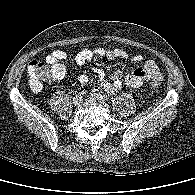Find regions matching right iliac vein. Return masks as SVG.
<instances>
[{
  "label": "right iliac vein",
  "instance_id": "right-iliac-vein-1",
  "mask_svg": "<svg viewBox=\"0 0 195 195\" xmlns=\"http://www.w3.org/2000/svg\"><path fill=\"white\" fill-rule=\"evenodd\" d=\"M82 100H83L82 96H80V95L75 96L74 99H73V104L74 105H79L82 102Z\"/></svg>",
  "mask_w": 195,
  "mask_h": 195
}]
</instances>
